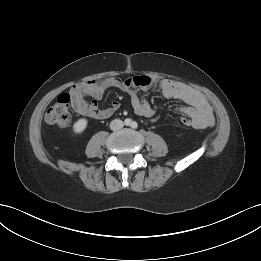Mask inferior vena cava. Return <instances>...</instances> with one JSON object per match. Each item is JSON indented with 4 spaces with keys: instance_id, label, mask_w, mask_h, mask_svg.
<instances>
[{
    "instance_id": "inferior-vena-cava-1",
    "label": "inferior vena cava",
    "mask_w": 261,
    "mask_h": 261,
    "mask_svg": "<svg viewBox=\"0 0 261 261\" xmlns=\"http://www.w3.org/2000/svg\"><path fill=\"white\" fill-rule=\"evenodd\" d=\"M123 126H124V123L120 119L112 120L110 123V129L114 130V131L121 129Z\"/></svg>"
}]
</instances>
